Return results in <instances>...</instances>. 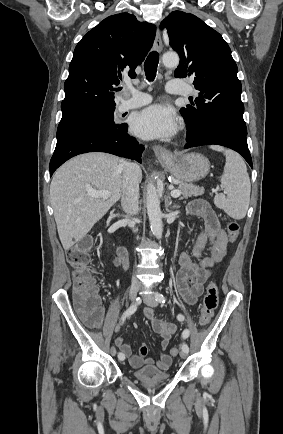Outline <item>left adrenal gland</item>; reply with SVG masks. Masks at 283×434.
<instances>
[{
  "label": "left adrenal gland",
  "mask_w": 283,
  "mask_h": 434,
  "mask_svg": "<svg viewBox=\"0 0 283 434\" xmlns=\"http://www.w3.org/2000/svg\"><path fill=\"white\" fill-rule=\"evenodd\" d=\"M171 203H172L171 198H170V196H168L167 200H166V203H165L166 209L169 208V206L171 205ZM175 208H178V206H176V205L173 206V209H175Z\"/></svg>",
  "instance_id": "obj_1"
}]
</instances>
